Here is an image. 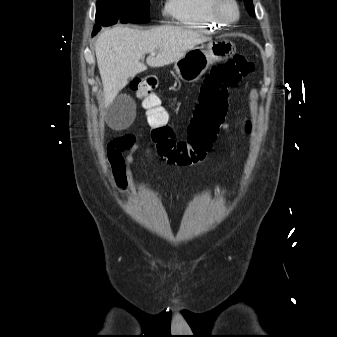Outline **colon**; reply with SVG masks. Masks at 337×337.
<instances>
[{
	"instance_id": "colon-1",
	"label": "colon",
	"mask_w": 337,
	"mask_h": 337,
	"mask_svg": "<svg viewBox=\"0 0 337 337\" xmlns=\"http://www.w3.org/2000/svg\"><path fill=\"white\" fill-rule=\"evenodd\" d=\"M253 70V63L239 55L211 69L201 86L185 139L176 138L167 114L150 98L157 87V79L150 76L135 79L132 91L145 100L150 138L158 157L175 165H188L201 160L209 151L223 123L229 89ZM251 129V123L247 122L246 132L250 133Z\"/></svg>"
}]
</instances>
